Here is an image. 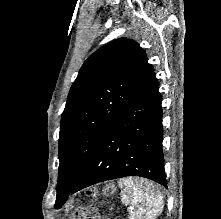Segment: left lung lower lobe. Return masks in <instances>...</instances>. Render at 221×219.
I'll use <instances>...</instances> for the list:
<instances>
[{
    "label": "left lung lower lobe",
    "mask_w": 221,
    "mask_h": 219,
    "mask_svg": "<svg viewBox=\"0 0 221 219\" xmlns=\"http://www.w3.org/2000/svg\"><path fill=\"white\" fill-rule=\"evenodd\" d=\"M161 95L154 72L116 117L71 193L101 181L140 176L167 187Z\"/></svg>",
    "instance_id": "obj_1"
}]
</instances>
